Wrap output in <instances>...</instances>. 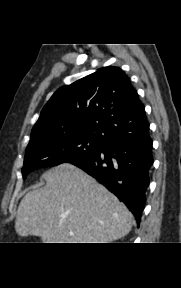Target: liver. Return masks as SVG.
Wrapping results in <instances>:
<instances>
[{"mask_svg": "<svg viewBox=\"0 0 181 288\" xmlns=\"http://www.w3.org/2000/svg\"><path fill=\"white\" fill-rule=\"evenodd\" d=\"M42 177L46 185L19 204L18 235L39 236L43 243H110L130 232L131 212L78 167L63 163Z\"/></svg>", "mask_w": 181, "mask_h": 288, "instance_id": "liver-1", "label": "liver"}]
</instances>
